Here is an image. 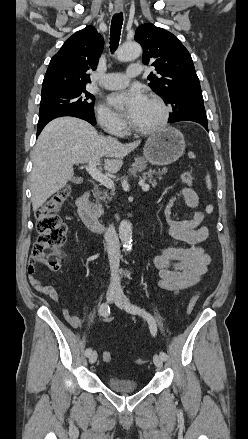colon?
<instances>
[{
    "label": "colon",
    "instance_id": "5ec220e1",
    "mask_svg": "<svg viewBox=\"0 0 248 439\" xmlns=\"http://www.w3.org/2000/svg\"><path fill=\"white\" fill-rule=\"evenodd\" d=\"M183 184L191 187L194 184L192 171L186 170L181 175ZM70 195V188L65 186L47 199L37 210V230L38 239L33 247L34 258L47 266L51 270H58L61 265L59 249L67 240V227L59 216V211ZM199 297V292H195L187 305V313L190 314ZM102 359L105 362L112 360V355L108 351L102 352ZM143 363V360H137Z\"/></svg>",
    "mask_w": 248,
    "mask_h": 439
}]
</instances>
